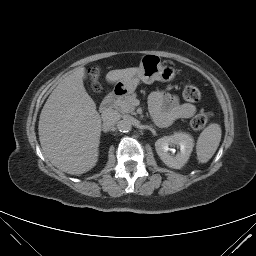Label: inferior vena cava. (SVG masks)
<instances>
[{
  "label": "inferior vena cava",
  "mask_w": 256,
  "mask_h": 256,
  "mask_svg": "<svg viewBox=\"0 0 256 256\" xmlns=\"http://www.w3.org/2000/svg\"><path fill=\"white\" fill-rule=\"evenodd\" d=\"M103 126L109 130L115 126L120 120V114L116 110H107L102 114Z\"/></svg>",
  "instance_id": "1"
}]
</instances>
